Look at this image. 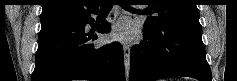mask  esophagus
<instances>
[{
	"label": "esophagus",
	"mask_w": 237,
	"mask_h": 81,
	"mask_svg": "<svg viewBox=\"0 0 237 81\" xmlns=\"http://www.w3.org/2000/svg\"><path fill=\"white\" fill-rule=\"evenodd\" d=\"M123 53H124V65H125V72L126 77H129L130 71V46L128 44H123Z\"/></svg>",
	"instance_id": "obj_1"
}]
</instances>
